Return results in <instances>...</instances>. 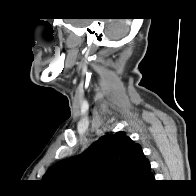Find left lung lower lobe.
Returning <instances> with one entry per match:
<instances>
[{"label": "left lung lower lobe", "mask_w": 196, "mask_h": 196, "mask_svg": "<svg viewBox=\"0 0 196 196\" xmlns=\"http://www.w3.org/2000/svg\"><path fill=\"white\" fill-rule=\"evenodd\" d=\"M154 180V176L151 173L150 163L149 161H146L139 170L134 182L145 184L148 182H153Z\"/></svg>", "instance_id": "left-lung-lower-lobe-1"}]
</instances>
